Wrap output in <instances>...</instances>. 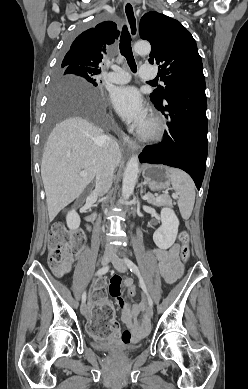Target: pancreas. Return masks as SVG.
I'll list each match as a JSON object with an SVG mask.
<instances>
[{"label":"pancreas","mask_w":248,"mask_h":389,"mask_svg":"<svg viewBox=\"0 0 248 389\" xmlns=\"http://www.w3.org/2000/svg\"><path fill=\"white\" fill-rule=\"evenodd\" d=\"M148 202L156 206H160V205L172 206V199L168 195H162V198L160 200H157L156 198H151L148 200Z\"/></svg>","instance_id":"obj_1"}]
</instances>
